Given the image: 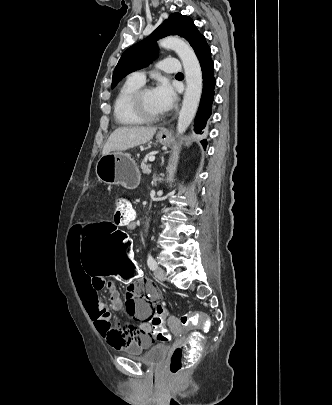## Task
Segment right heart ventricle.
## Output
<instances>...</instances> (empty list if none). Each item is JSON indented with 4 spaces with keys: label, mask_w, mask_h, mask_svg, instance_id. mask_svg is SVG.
<instances>
[{
    "label": "right heart ventricle",
    "mask_w": 332,
    "mask_h": 405,
    "mask_svg": "<svg viewBox=\"0 0 332 405\" xmlns=\"http://www.w3.org/2000/svg\"><path fill=\"white\" fill-rule=\"evenodd\" d=\"M142 86L141 83L128 79L118 90L113 110L115 121L122 126H135L143 122L135 116L131 108L133 94Z\"/></svg>",
    "instance_id": "obj_1"
}]
</instances>
